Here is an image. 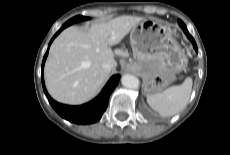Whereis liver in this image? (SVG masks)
<instances>
[{"mask_svg": "<svg viewBox=\"0 0 230 155\" xmlns=\"http://www.w3.org/2000/svg\"><path fill=\"white\" fill-rule=\"evenodd\" d=\"M143 20L123 15L105 23H94L88 30L74 26L63 30L52 43L45 64L49 94L58 102L71 105L92 99L109 76L103 63L114 60L111 46Z\"/></svg>", "mask_w": 230, "mask_h": 155, "instance_id": "1", "label": "liver"}]
</instances>
